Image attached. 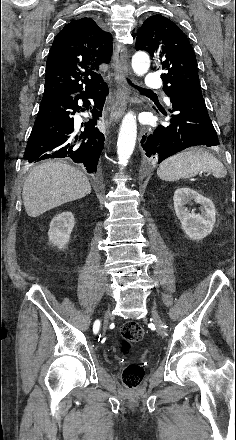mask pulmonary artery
Here are the masks:
<instances>
[{"label": "pulmonary artery", "mask_w": 236, "mask_h": 440, "mask_svg": "<svg viewBox=\"0 0 236 440\" xmlns=\"http://www.w3.org/2000/svg\"><path fill=\"white\" fill-rule=\"evenodd\" d=\"M162 84L161 78L154 73L148 74V77L145 79L144 86L147 89H158Z\"/></svg>", "instance_id": "pulmonary-artery-1"}]
</instances>
